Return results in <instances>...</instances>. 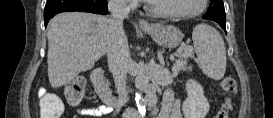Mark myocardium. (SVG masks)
Here are the masks:
<instances>
[{
	"label": "myocardium",
	"mask_w": 273,
	"mask_h": 118,
	"mask_svg": "<svg viewBox=\"0 0 273 118\" xmlns=\"http://www.w3.org/2000/svg\"><path fill=\"white\" fill-rule=\"evenodd\" d=\"M200 6L198 9L192 11V12H187V13H174V12H163L159 11L154 8L153 1H148L146 4V9L154 16L160 17V18H165V19H182V18H190L197 16L204 12V10L207 7L208 0H200Z\"/></svg>",
	"instance_id": "obj_1"
}]
</instances>
